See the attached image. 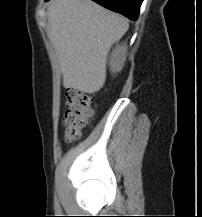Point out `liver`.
<instances>
[{
    "label": "liver",
    "mask_w": 202,
    "mask_h": 217,
    "mask_svg": "<svg viewBox=\"0 0 202 217\" xmlns=\"http://www.w3.org/2000/svg\"><path fill=\"white\" fill-rule=\"evenodd\" d=\"M48 37L58 55L64 88L98 92L107 56L128 30V20L91 0H52Z\"/></svg>",
    "instance_id": "1"
}]
</instances>
